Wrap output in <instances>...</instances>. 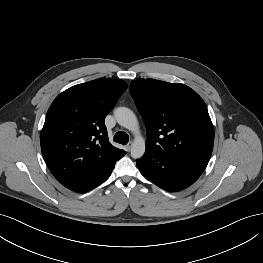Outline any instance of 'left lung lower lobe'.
<instances>
[{
    "mask_svg": "<svg viewBox=\"0 0 263 263\" xmlns=\"http://www.w3.org/2000/svg\"><path fill=\"white\" fill-rule=\"evenodd\" d=\"M141 174L167 191H180L192 185L204 168L174 156L145 153L137 160Z\"/></svg>",
    "mask_w": 263,
    "mask_h": 263,
    "instance_id": "0a47b994",
    "label": "left lung lower lobe"
}]
</instances>
